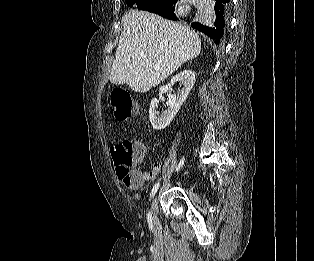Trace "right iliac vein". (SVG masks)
Returning <instances> with one entry per match:
<instances>
[{"mask_svg":"<svg viewBox=\"0 0 314 261\" xmlns=\"http://www.w3.org/2000/svg\"><path fill=\"white\" fill-rule=\"evenodd\" d=\"M151 211H152V214H153V218H154V220L156 222L157 213H158V201H157V198H154V200L152 201Z\"/></svg>","mask_w":314,"mask_h":261,"instance_id":"right-iliac-vein-1","label":"right iliac vein"}]
</instances>
